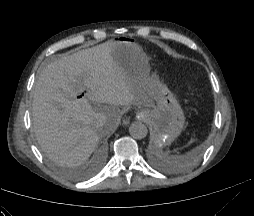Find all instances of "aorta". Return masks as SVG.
<instances>
[{
  "label": "aorta",
  "mask_w": 254,
  "mask_h": 216,
  "mask_svg": "<svg viewBox=\"0 0 254 216\" xmlns=\"http://www.w3.org/2000/svg\"><path fill=\"white\" fill-rule=\"evenodd\" d=\"M130 135L135 139H143L147 136L148 129L142 122H133L129 127Z\"/></svg>",
  "instance_id": "aorta-1"
}]
</instances>
